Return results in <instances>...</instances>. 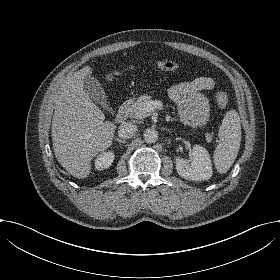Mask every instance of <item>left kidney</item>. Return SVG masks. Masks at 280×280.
Wrapping results in <instances>:
<instances>
[{
	"instance_id": "1",
	"label": "left kidney",
	"mask_w": 280,
	"mask_h": 280,
	"mask_svg": "<svg viewBox=\"0 0 280 280\" xmlns=\"http://www.w3.org/2000/svg\"><path fill=\"white\" fill-rule=\"evenodd\" d=\"M175 164L177 173L187 180H208L213 173L210 155L200 145L193 146L190 160L176 157Z\"/></svg>"
}]
</instances>
